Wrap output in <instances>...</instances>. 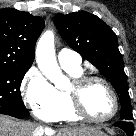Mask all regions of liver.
I'll list each match as a JSON object with an SVG mask.
<instances>
[{
	"label": "liver",
	"mask_w": 136,
	"mask_h": 136,
	"mask_svg": "<svg viewBox=\"0 0 136 136\" xmlns=\"http://www.w3.org/2000/svg\"><path fill=\"white\" fill-rule=\"evenodd\" d=\"M102 133L98 128L74 127L60 130L57 136H94ZM53 136L55 131L44 128L29 121L15 120L6 115H0V136Z\"/></svg>",
	"instance_id": "liver-1"
}]
</instances>
